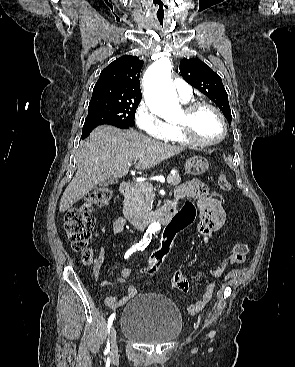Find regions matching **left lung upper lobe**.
Returning <instances> with one entry per match:
<instances>
[{
    "instance_id": "5c2ea615",
    "label": "left lung upper lobe",
    "mask_w": 295,
    "mask_h": 367,
    "mask_svg": "<svg viewBox=\"0 0 295 367\" xmlns=\"http://www.w3.org/2000/svg\"><path fill=\"white\" fill-rule=\"evenodd\" d=\"M179 69L182 77L190 85L206 95L220 108L230 124L232 120L231 110L221 77L208 65L196 58H184Z\"/></svg>"
}]
</instances>
